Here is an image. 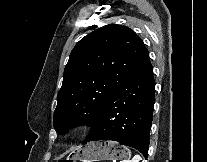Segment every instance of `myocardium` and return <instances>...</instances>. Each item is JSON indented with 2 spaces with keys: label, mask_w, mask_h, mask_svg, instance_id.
<instances>
[{
  "label": "myocardium",
  "mask_w": 207,
  "mask_h": 162,
  "mask_svg": "<svg viewBox=\"0 0 207 162\" xmlns=\"http://www.w3.org/2000/svg\"><path fill=\"white\" fill-rule=\"evenodd\" d=\"M83 128H84V125L83 124H79V125H76L72 130L74 132H78V131H81Z\"/></svg>",
  "instance_id": "obj_1"
}]
</instances>
